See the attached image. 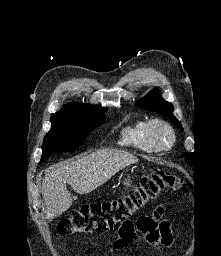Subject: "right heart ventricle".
Returning <instances> with one entry per match:
<instances>
[{
  "label": "right heart ventricle",
  "instance_id": "1",
  "mask_svg": "<svg viewBox=\"0 0 221 256\" xmlns=\"http://www.w3.org/2000/svg\"><path fill=\"white\" fill-rule=\"evenodd\" d=\"M147 121L136 120L122 128L119 138L121 145L134 147L147 153H153L156 149L147 138Z\"/></svg>",
  "mask_w": 221,
  "mask_h": 256
}]
</instances>
